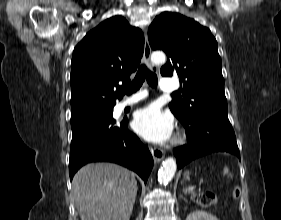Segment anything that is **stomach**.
<instances>
[{"instance_id": "obj_1", "label": "stomach", "mask_w": 281, "mask_h": 220, "mask_svg": "<svg viewBox=\"0 0 281 220\" xmlns=\"http://www.w3.org/2000/svg\"><path fill=\"white\" fill-rule=\"evenodd\" d=\"M186 176H187V177L189 176V172H186Z\"/></svg>"}]
</instances>
